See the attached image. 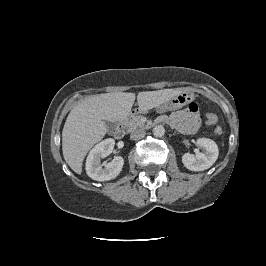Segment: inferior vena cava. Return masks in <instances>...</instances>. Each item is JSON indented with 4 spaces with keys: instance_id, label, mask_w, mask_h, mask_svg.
Here are the masks:
<instances>
[{
    "instance_id": "1",
    "label": "inferior vena cava",
    "mask_w": 266,
    "mask_h": 266,
    "mask_svg": "<svg viewBox=\"0 0 266 266\" xmlns=\"http://www.w3.org/2000/svg\"><path fill=\"white\" fill-rule=\"evenodd\" d=\"M145 131L144 130H142V129H137V130H134V131H132L131 132V134H130V138L132 139V140H140V139H142L144 136H145Z\"/></svg>"
}]
</instances>
